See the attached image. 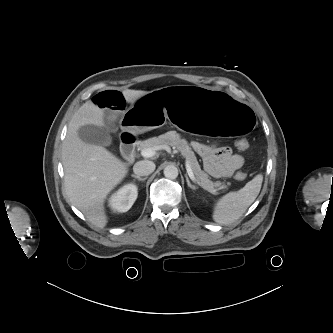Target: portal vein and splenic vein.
I'll list each match as a JSON object with an SVG mask.
<instances>
[{
	"instance_id": "obj_1",
	"label": "portal vein and splenic vein",
	"mask_w": 333,
	"mask_h": 333,
	"mask_svg": "<svg viewBox=\"0 0 333 333\" xmlns=\"http://www.w3.org/2000/svg\"><path fill=\"white\" fill-rule=\"evenodd\" d=\"M157 150V148H145L141 150V155L145 158H149L155 155V151ZM185 166H186V171L188 176L191 178L192 181L196 182L199 184L198 180L196 179L194 172L189 164V162L186 160L185 162Z\"/></svg>"
}]
</instances>
